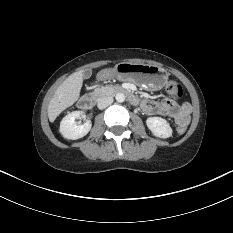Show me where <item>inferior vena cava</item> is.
I'll list each match as a JSON object with an SVG mask.
<instances>
[{
    "instance_id": "602c4592",
    "label": "inferior vena cava",
    "mask_w": 233,
    "mask_h": 233,
    "mask_svg": "<svg viewBox=\"0 0 233 233\" xmlns=\"http://www.w3.org/2000/svg\"><path fill=\"white\" fill-rule=\"evenodd\" d=\"M113 103V98L112 97H103L98 100L97 107L99 109H105L109 105Z\"/></svg>"
}]
</instances>
